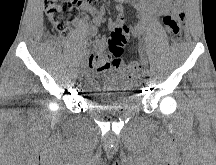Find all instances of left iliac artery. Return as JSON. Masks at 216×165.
Wrapping results in <instances>:
<instances>
[{
    "label": "left iliac artery",
    "mask_w": 216,
    "mask_h": 165,
    "mask_svg": "<svg viewBox=\"0 0 216 165\" xmlns=\"http://www.w3.org/2000/svg\"><path fill=\"white\" fill-rule=\"evenodd\" d=\"M141 55L144 57L143 53H141ZM142 62L144 64L143 72H149L150 71V68H149L150 67L149 59L148 58H143Z\"/></svg>",
    "instance_id": "44dca946"
}]
</instances>
